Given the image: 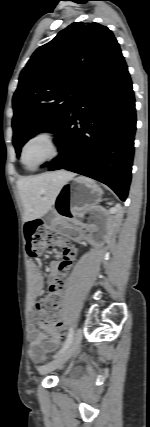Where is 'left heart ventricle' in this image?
Returning a JSON list of instances; mask_svg holds the SVG:
<instances>
[{"label": "left heart ventricle", "mask_w": 150, "mask_h": 427, "mask_svg": "<svg viewBox=\"0 0 150 427\" xmlns=\"http://www.w3.org/2000/svg\"><path fill=\"white\" fill-rule=\"evenodd\" d=\"M51 153V147L45 140H37L26 149L24 160L27 166L32 167Z\"/></svg>", "instance_id": "obj_1"}]
</instances>
